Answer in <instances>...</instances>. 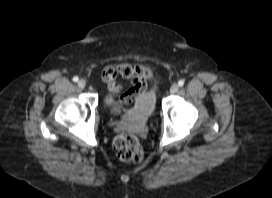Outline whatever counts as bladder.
I'll return each instance as SVG.
<instances>
[{"instance_id": "bladder-1", "label": "bladder", "mask_w": 272, "mask_h": 198, "mask_svg": "<svg viewBox=\"0 0 272 198\" xmlns=\"http://www.w3.org/2000/svg\"><path fill=\"white\" fill-rule=\"evenodd\" d=\"M112 114L117 116H127L138 121L147 120L155 109V100L153 95L147 96L144 99L138 100L134 106L126 109L119 101L107 103Z\"/></svg>"}]
</instances>
